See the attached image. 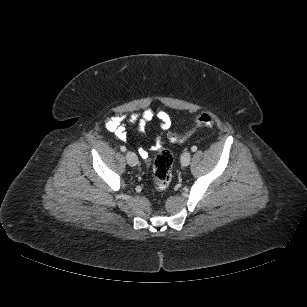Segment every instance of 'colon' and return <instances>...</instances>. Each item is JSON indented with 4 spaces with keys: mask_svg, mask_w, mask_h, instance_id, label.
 I'll use <instances>...</instances> for the list:
<instances>
[{
    "mask_svg": "<svg viewBox=\"0 0 307 307\" xmlns=\"http://www.w3.org/2000/svg\"><path fill=\"white\" fill-rule=\"evenodd\" d=\"M214 125V118L208 113H203L196 118L193 128L181 135L170 132L168 138L171 142H182L189 138L196 128ZM172 167V153L166 148H158L153 163V181L156 189L164 191L168 188L172 180Z\"/></svg>",
    "mask_w": 307,
    "mask_h": 307,
    "instance_id": "1",
    "label": "colon"
}]
</instances>
